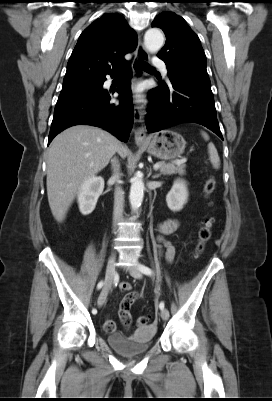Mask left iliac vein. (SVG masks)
Wrapping results in <instances>:
<instances>
[{"label":"left iliac vein","mask_w":272,"mask_h":401,"mask_svg":"<svg viewBox=\"0 0 272 401\" xmlns=\"http://www.w3.org/2000/svg\"><path fill=\"white\" fill-rule=\"evenodd\" d=\"M129 273L132 277L140 279L142 278V273L140 272V270L136 267L133 266L129 269ZM160 316L163 320H167L169 318V312L167 309H161L160 311Z\"/></svg>","instance_id":"4c4485c4"}]
</instances>
